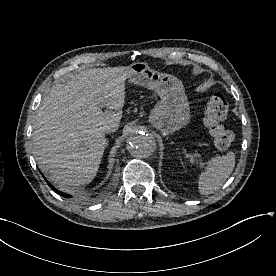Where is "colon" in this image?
<instances>
[{
  "label": "colon",
  "mask_w": 276,
  "mask_h": 276,
  "mask_svg": "<svg viewBox=\"0 0 276 276\" xmlns=\"http://www.w3.org/2000/svg\"><path fill=\"white\" fill-rule=\"evenodd\" d=\"M229 112V105L222 94H214L207 102L203 123L212 137L216 148L227 150L233 143L234 135L227 130L223 121Z\"/></svg>",
  "instance_id": "obj_1"
}]
</instances>
